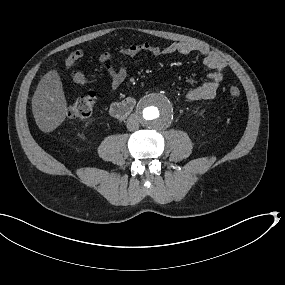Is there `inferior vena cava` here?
Here are the masks:
<instances>
[{
  "mask_svg": "<svg viewBox=\"0 0 285 285\" xmlns=\"http://www.w3.org/2000/svg\"><path fill=\"white\" fill-rule=\"evenodd\" d=\"M126 126L129 131H137L139 129L138 116L131 114L127 119Z\"/></svg>",
  "mask_w": 285,
  "mask_h": 285,
  "instance_id": "obj_1",
  "label": "inferior vena cava"
}]
</instances>
